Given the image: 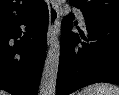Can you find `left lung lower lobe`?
Returning a JSON list of instances; mask_svg holds the SVG:
<instances>
[{"instance_id":"1","label":"left lung lower lobe","mask_w":119,"mask_h":95,"mask_svg":"<svg viewBox=\"0 0 119 95\" xmlns=\"http://www.w3.org/2000/svg\"><path fill=\"white\" fill-rule=\"evenodd\" d=\"M83 15L85 33L71 31L72 13L62 20L56 95L98 82L119 85V22Z\"/></svg>"}]
</instances>
